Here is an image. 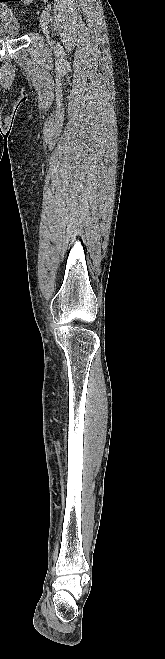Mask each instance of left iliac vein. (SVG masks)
Here are the masks:
<instances>
[{
	"mask_svg": "<svg viewBox=\"0 0 165 659\" xmlns=\"http://www.w3.org/2000/svg\"><path fill=\"white\" fill-rule=\"evenodd\" d=\"M40 25H41V28H42L43 33L45 34V36H46V38H47V40H48V42H49V41H50V38H49V26H48V22H47V20H46L43 16H41V18H40Z\"/></svg>",
	"mask_w": 165,
	"mask_h": 659,
	"instance_id": "4c4485c4",
	"label": "left iliac vein"
}]
</instances>
